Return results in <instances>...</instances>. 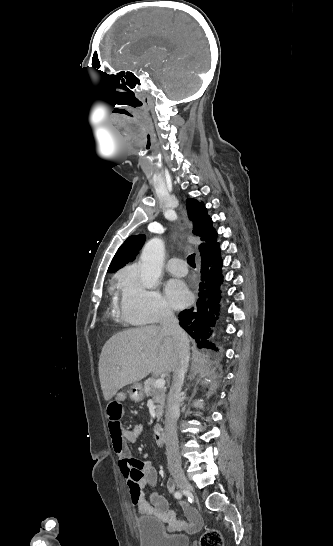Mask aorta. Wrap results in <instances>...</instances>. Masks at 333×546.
I'll use <instances>...</instances> for the list:
<instances>
[{
    "label": "aorta",
    "instance_id": "1",
    "mask_svg": "<svg viewBox=\"0 0 333 546\" xmlns=\"http://www.w3.org/2000/svg\"><path fill=\"white\" fill-rule=\"evenodd\" d=\"M165 255V245L159 237L152 238L144 246L140 256L141 282L148 289L159 281Z\"/></svg>",
    "mask_w": 333,
    "mask_h": 546
}]
</instances>
